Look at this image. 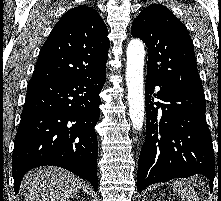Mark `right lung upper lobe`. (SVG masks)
Wrapping results in <instances>:
<instances>
[{
	"label": "right lung upper lobe",
	"mask_w": 221,
	"mask_h": 201,
	"mask_svg": "<svg viewBox=\"0 0 221 201\" xmlns=\"http://www.w3.org/2000/svg\"><path fill=\"white\" fill-rule=\"evenodd\" d=\"M107 36V27L95 9L84 5L72 8L42 46L29 82H57L106 71Z\"/></svg>",
	"instance_id": "cb5924a9"
}]
</instances>
